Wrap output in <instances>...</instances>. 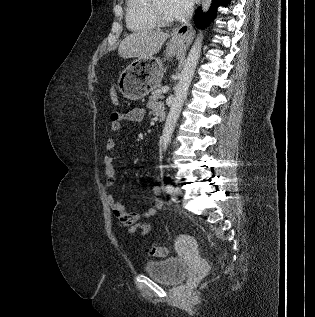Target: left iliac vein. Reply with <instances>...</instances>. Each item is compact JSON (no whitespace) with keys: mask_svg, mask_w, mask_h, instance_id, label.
Returning a JSON list of instances; mask_svg holds the SVG:
<instances>
[{"mask_svg":"<svg viewBox=\"0 0 315 317\" xmlns=\"http://www.w3.org/2000/svg\"><path fill=\"white\" fill-rule=\"evenodd\" d=\"M172 195L175 196V197L180 196L181 195V190L178 189V188H175L173 193H172Z\"/></svg>","mask_w":315,"mask_h":317,"instance_id":"1","label":"left iliac vein"}]
</instances>
